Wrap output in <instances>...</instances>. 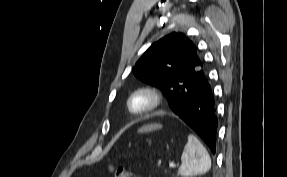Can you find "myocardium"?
I'll use <instances>...</instances> for the list:
<instances>
[{
    "instance_id": "obj_1",
    "label": "myocardium",
    "mask_w": 287,
    "mask_h": 177,
    "mask_svg": "<svg viewBox=\"0 0 287 177\" xmlns=\"http://www.w3.org/2000/svg\"><path fill=\"white\" fill-rule=\"evenodd\" d=\"M138 97H145L147 99L146 105L141 109L133 107V102ZM162 103L163 94L161 91L154 86L145 85L136 88L130 93L126 102V108L132 116L143 117L159 109Z\"/></svg>"
}]
</instances>
